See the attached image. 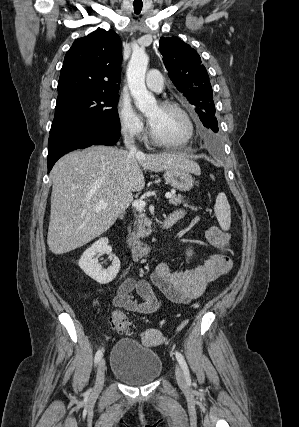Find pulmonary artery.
Masks as SVG:
<instances>
[{"label": "pulmonary artery", "instance_id": "pulmonary-artery-1", "mask_svg": "<svg viewBox=\"0 0 299 427\" xmlns=\"http://www.w3.org/2000/svg\"><path fill=\"white\" fill-rule=\"evenodd\" d=\"M146 85L149 89L160 92L164 87L162 74L155 69H151L147 73Z\"/></svg>", "mask_w": 299, "mask_h": 427}]
</instances>
